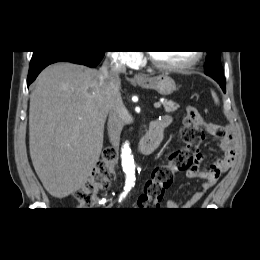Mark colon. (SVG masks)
Listing matches in <instances>:
<instances>
[{"mask_svg":"<svg viewBox=\"0 0 260 260\" xmlns=\"http://www.w3.org/2000/svg\"><path fill=\"white\" fill-rule=\"evenodd\" d=\"M197 113L195 107H188L181 131L184 146L171 154L167 163L155 167L145 184L143 196L148 198L152 205L156 206L162 200L165 191L172 186L177 173L192 167L195 156L199 153V145L204 139V133L196 124ZM115 159V151L107 148L91 176L74 195L80 206H92L95 203L96 194L110 186L114 178Z\"/></svg>","mask_w":260,"mask_h":260,"instance_id":"1","label":"colon"}]
</instances>
